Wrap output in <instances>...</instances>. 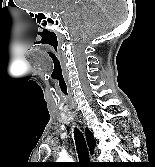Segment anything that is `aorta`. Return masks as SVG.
Here are the masks:
<instances>
[{"instance_id": "obj_1", "label": "aorta", "mask_w": 155, "mask_h": 167, "mask_svg": "<svg viewBox=\"0 0 155 167\" xmlns=\"http://www.w3.org/2000/svg\"><path fill=\"white\" fill-rule=\"evenodd\" d=\"M58 160H61V161H66V162H68L69 160H72L69 156H67V155H62V156H60V158L58 159Z\"/></svg>"}]
</instances>
